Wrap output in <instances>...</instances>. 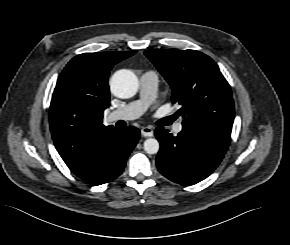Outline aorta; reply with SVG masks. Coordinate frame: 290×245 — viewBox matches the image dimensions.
I'll list each match as a JSON object with an SVG mask.
<instances>
[{"label": "aorta", "instance_id": "obj_1", "mask_svg": "<svg viewBox=\"0 0 290 245\" xmlns=\"http://www.w3.org/2000/svg\"><path fill=\"white\" fill-rule=\"evenodd\" d=\"M112 93L119 98H130L138 90V79L130 70H119L114 73L110 80ZM159 142L155 138H149L144 141V150L148 154L158 153Z\"/></svg>", "mask_w": 290, "mask_h": 245}]
</instances>
